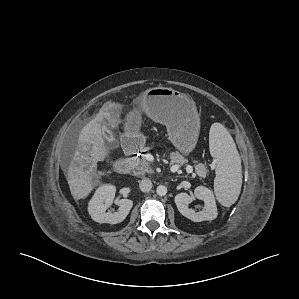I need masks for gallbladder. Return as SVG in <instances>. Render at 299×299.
I'll list each match as a JSON object with an SVG mask.
<instances>
[{
  "instance_id": "bac80fb5",
  "label": "gallbladder",
  "mask_w": 299,
  "mask_h": 299,
  "mask_svg": "<svg viewBox=\"0 0 299 299\" xmlns=\"http://www.w3.org/2000/svg\"><path fill=\"white\" fill-rule=\"evenodd\" d=\"M111 129H112L111 123L104 124L103 132H104L106 144L110 148H115L118 145V142L117 140H115Z\"/></svg>"
}]
</instances>
